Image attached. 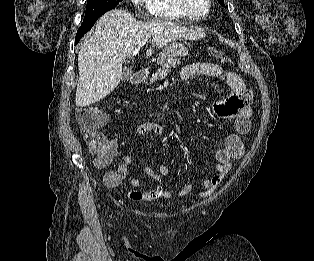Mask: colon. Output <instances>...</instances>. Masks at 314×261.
I'll return each instance as SVG.
<instances>
[{"label": "colon", "mask_w": 314, "mask_h": 261, "mask_svg": "<svg viewBox=\"0 0 314 261\" xmlns=\"http://www.w3.org/2000/svg\"><path fill=\"white\" fill-rule=\"evenodd\" d=\"M210 52L219 62L230 63V58L223 51L213 48ZM75 118L88 149L96 156L100 165H105L107 158L114 152V146L100 131L104 123L103 111L96 106L79 107L75 111ZM104 179L112 185L120 181L117 174L110 172L105 174Z\"/></svg>", "instance_id": "1"}]
</instances>
